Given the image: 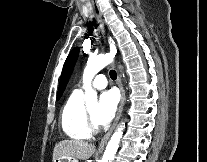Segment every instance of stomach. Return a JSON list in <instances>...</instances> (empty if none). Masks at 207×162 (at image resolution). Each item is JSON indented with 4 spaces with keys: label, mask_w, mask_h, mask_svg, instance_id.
Returning <instances> with one entry per match:
<instances>
[{
    "label": "stomach",
    "mask_w": 207,
    "mask_h": 162,
    "mask_svg": "<svg viewBox=\"0 0 207 162\" xmlns=\"http://www.w3.org/2000/svg\"><path fill=\"white\" fill-rule=\"evenodd\" d=\"M53 162H65V161H63V159H56V160H53ZM68 162H73V160L72 161L69 160Z\"/></svg>",
    "instance_id": "obj_1"
}]
</instances>
